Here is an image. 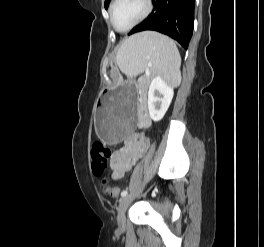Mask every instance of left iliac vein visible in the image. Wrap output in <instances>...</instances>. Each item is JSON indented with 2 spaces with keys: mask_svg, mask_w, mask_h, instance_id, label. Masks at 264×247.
Here are the masks:
<instances>
[{
  "mask_svg": "<svg viewBox=\"0 0 264 247\" xmlns=\"http://www.w3.org/2000/svg\"><path fill=\"white\" fill-rule=\"evenodd\" d=\"M134 195H126L120 199L119 206H118V215H117V222L120 228H124L125 226V212L133 200Z\"/></svg>",
  "mask_w": 264,
  "mask_h": 247,
  "instance_id": "obj_1",
  "label": "left iliac vein"
}]
</instances>
